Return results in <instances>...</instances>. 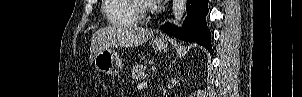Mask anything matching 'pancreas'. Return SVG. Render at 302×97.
<instances>
[{
	"instance_id": "obj_1",
	"label": "pancreas",
	"mask_w": 302,
	"mask_h": 97,
	"mask_svg": "<svg viewBox=\"0 0 302 97\" xmlns=\"http://www.w3.org/2000/svg\"><path fill=\"white\" fill-rule=\"evenodd\" d=\"M146 68L143 65H136L132 68V79L133 80H142L146 77Z\"/></svg>"
}]
</instances>
